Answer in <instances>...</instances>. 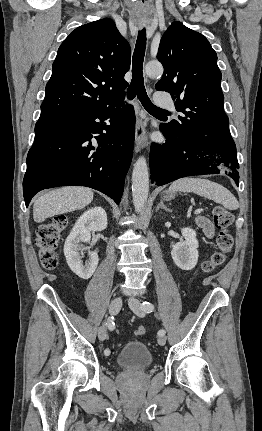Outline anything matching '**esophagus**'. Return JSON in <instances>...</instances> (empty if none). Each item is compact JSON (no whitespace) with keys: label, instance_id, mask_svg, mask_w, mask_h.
<instances>
[{"label":"esophagus","instance_id":"esophagus-1","mask_svg":"<svg viewBox=\"0 0 262 431\" xmlns=\"http://www.w3.org/2000/svg\"><path fill=\"white\" fill-rule=\"evenodd\" d=\"M145 118L146 116L144 111L138 108L137 121H136V127H135V143H136L137 150H141L148 145Z\"/></svg>","mask_w":262,"mask_h":431}]
</instances>
